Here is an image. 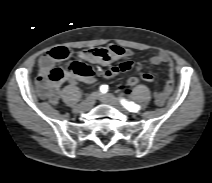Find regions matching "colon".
<instances>
[{"label": "colon", "instance_id": "obj_1", "mask_svg": "<svg viewBox=\"0 0 212 183\" xmlns=\"http://www.w3.org/2000/svg\"><path fill=\"white\" fill-rule=\"evenodd\" d=\"M49 55L56 61H62L69 56V50L64 47H56L49 52ZM66 72L83 76L88 73V66L78 61H71L67 64L66 68L54 66L48 72L41 75L52 83H59L64 79ZM137 84H139V79L131 77L126 81L125 89H131Z\"/></svg>", "mask_w": 212, "mask_h": 183}]
</instances>
